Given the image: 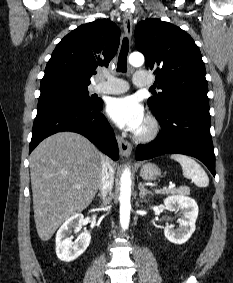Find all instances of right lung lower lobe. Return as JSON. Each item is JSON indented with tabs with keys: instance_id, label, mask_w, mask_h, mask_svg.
I'll return each mask as SVG.
<instances>
[{
	"instance_id": "1",
	"label": "right lung lower lobe",
	"mask_w": 233,
	"mask_h": 283,
	"mask_svg": "<svg viewBox=\"0 0 233 283\" xmlns=\"http://www.w3.org/2000/svg\"><path fill=\"white\" fill-rule=\"evenodd\" d=\"M102 106V100L93 105L61 98L40 100L29 153L46 137L57 132L71 131L84 135L105 154L117 160L118 145L107 119L100 113Z\"/></svg>"
}]
</instances>
